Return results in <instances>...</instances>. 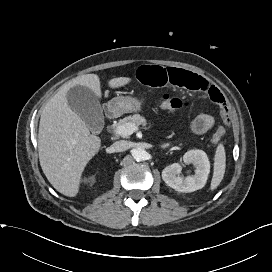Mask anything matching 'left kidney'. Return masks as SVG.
Listing matches in <instances>:
<instances>
[{"instance_id": "left-kidney-1", "label": "left kidney", "mask_w": 272, "mask_h": 272, "mask_svg": "<svg viewBox=\"0 0 272 272\" xmlns=\"http://www.w3.org/2000/svg\"><path fill=\"white\" fill-rule=\"evenodd\" d=\"M183 162L193 164L196 168L195 174L183 179L179 176L182 166L173 163L162 171L164 182L178 192L188 193L203 188L210 172V162L206 153L198 149L190 150L184 154Z\"/></svg>"}]
</instances>
